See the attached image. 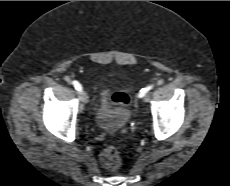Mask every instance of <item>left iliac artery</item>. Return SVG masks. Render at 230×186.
<instances>
[{"instance_id": "1", "label": "left iliac artery", "mask_w": 230, "mask_h": 186, "mask_svg": "<svg viewBox=\"0 0 230 186\" xmlns=\"http://www.w3.org/2000/svg\"><path fill=\"white\" fill-rule=\"evenodd\" d=\"M154 86L149 85L146 88L140 90L139 97H143L148 91H150Z\"/></svg>"}]
</instances>
